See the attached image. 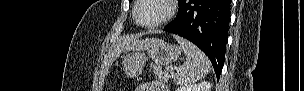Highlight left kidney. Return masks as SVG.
I'll return each mask as SVG.
<instances>
[{"mask_svg":"<svg viewBox=\"0 0 304 91\" xmlns=\"http://www.w3.org/2000/svg\"><path fill=\"white\" fill-rule=\"evenodd\" d=\"M211 86L210 82H201L199 84L180 86L176 91H210Z\"/></svg>","mask_w":304,"mask_h":91,"instance_id":"left-kidney-1","label":"left kidney"}]
</instances>
